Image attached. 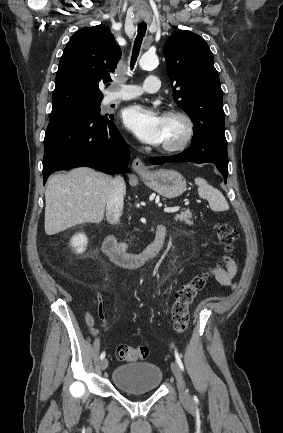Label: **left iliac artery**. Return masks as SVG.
Instances as JSON below:
<instances>
[{"label":"left iliac artery","mask_w":283,"mask_h":433,"mask_svg":"<svg viewBox=\"0 0 283 433\" xmlns=\"http://www.w3.org/2000/svg\"><path fill=\"white\" fill-rule=\"evenodd\" d=\"M175 359H176V362H177V364L179 365L180 369H181V370H184V365H183V363H182V361H181V358H180V356H179L177 350H175ZM195 398H196V397H195Z\"/></svg>","instance_id":"44dca946"}]
</instances>
